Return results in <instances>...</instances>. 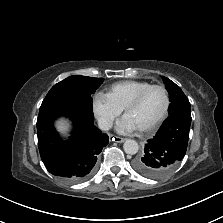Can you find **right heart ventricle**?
Instances as JSON below:
<instances>
[{
  "label": "right heart ventricle",
  "mask_w": 223,
  "mask_h": 223,
  "mask_svg": "<svg viewBox=\"0 0 223 223\" xmlns=\"http://www.w3.org/2000/svg\"><path fill=\"white\" fill-rule=\"evenodd\" d=\"M151 83L141 80H124L112 84L106 95L121 109L144 88L150 86Z\"/></svg>",
  "instance_id": "1"
}]
</instances>
